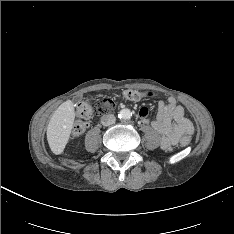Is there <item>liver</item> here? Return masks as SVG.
I'll return each instance as SVG.
<instances>
[{"label":"liver","instance_id":"liver-1","mask_svg":"<svg viewBox=\"0 0 234 234\" xmlns=\"http://www.w3.org/2000/svg\"><path fill=\"white\" fill-rule=\"evenodd\" d=\"M74 119L75 111L71 100L62 103L53 113L47 127V140L54 154L63 152L69 140Z\"/></svg>","mask_w":234,"mask_h":234}]
</instances>
